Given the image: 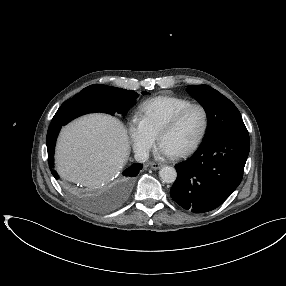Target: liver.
Instances as JSON below:
<instances>
[{"instance_id":"liver-1","label":"liver","mask_w":286,"mask_h":286,"mask_svg":"<svg viewBox=\"0 0 286 286\" xmlns=\"http://www.w3.org/2000/svg\"><path fill=\"white\" fill-rule=\"evenodd\" d=\"M129 153L123 124L108 115L90 114L62 129L56 145V169L65 180L99 187L124 167Z\"/></svg>"}]
</instances>
